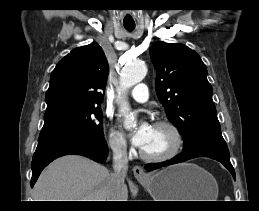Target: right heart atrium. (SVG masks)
<instances>
[{
    "mask_svg": "<svg viewBox=\"0 0 259 211\" xmlns=\"http://www.w3.org/2000/svg\"><path fill=\"white\" fill-rule=\"evenodd\" d=\"M108 145L112 152L118 156L123 157L127 153V144L123 135L113 129L109 130Z\"/></svg>",
    "mask_w": 259,
    "mask_h": 211,
    "instance_id": "1",
    "label": "right heart atrium"
}]
</instances>
